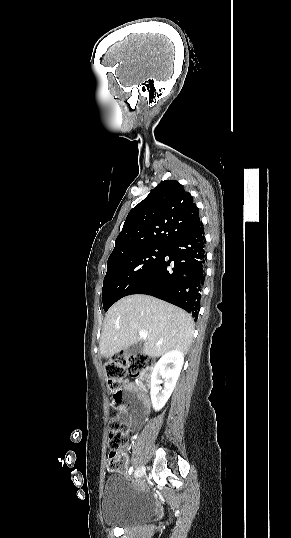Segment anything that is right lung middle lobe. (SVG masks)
<instances>
[{"label": "right lung middle lobe", "mask_w": 291, "mask_h": 538, "mask_svg": "<svg viewBox=\"0 0 291 538\" xmlns=\"http://www.w3.org/2000/svg\"><path fill=\"white\" fill-rule=\"evenodd\" d=\"M166 250L167 245H153L109 258L102 290L104 310L107 311L116 301L130 295L151 273Z\"/></svg>", "instance_id": "1"}]
</instances>
